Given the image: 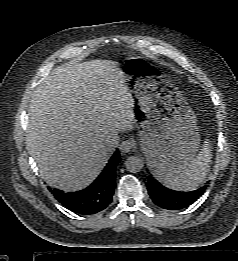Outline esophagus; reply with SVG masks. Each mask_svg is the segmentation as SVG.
I'll return each instance as SVG.
<instances>
[{"mask_svg":"<svg viewBox=\"0 0 238 261\" xmlns=\"http://www.w3.org/2000/svg\"><path fill=\"white\" fill-rule=\"evenodd\" d=\"M135 146V143L132 139L124 140L120 145V151L122 153L130 152Z\"/></svg>","mask_w":238,"mask_h":261,"instance_id":"esophagus-1","label":"esophagus"}]
</instances>
